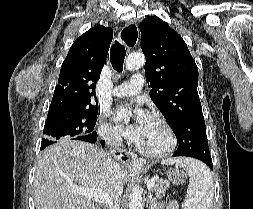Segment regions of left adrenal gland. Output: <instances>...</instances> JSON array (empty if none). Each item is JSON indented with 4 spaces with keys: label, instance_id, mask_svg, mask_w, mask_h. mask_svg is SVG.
Here are the masks:
<instances>
[{
    "label": "left adrenal gland",
    "instance_id": "left-adrenal-gland-1",
    "mask_svg": "<svg viewBox=\"0 0 253 209\" xmlns=\"http://www.w3.org/2000/svg\"><path fill=\"white\" fill-rule=\"evenodd\" d=\"M147 204H149V209H158L156 199L152 198L151 192H149Z\"/></svg>",
    "mask_w": 253,
    "mask_h": 209
}]
</instances>
